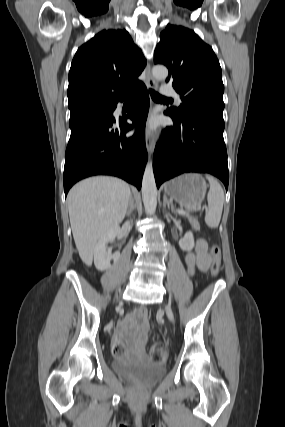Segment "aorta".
Listing matches in <instances>:
<instances>
[{
  "mask_svg": "<svg viewBox=\"0 0 285 427\" xmlns=\"http://www.w3.org/2000/svg\"><path fill=\"white\" fill-rule=\"evenodd\" d=\"M152 75L156 80H165L168 77V69L163 65H156L152 68ZM142 198L146 213L153 215L157 206V188L151 161L147 163L143 174Z\"/></svg>",
  "mask_w": 285,
  "mask_h": 427,
  "instance_id": "762f6f07",
  "label": "aorta"
}]
</instances>
